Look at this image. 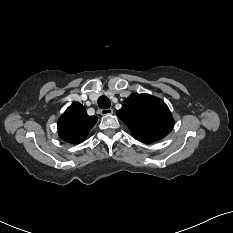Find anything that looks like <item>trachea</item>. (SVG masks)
I'll use <instances>...</instances> for the list:
<instances>
[{
    "mask_svg": "<svg viewBox=\"0 0 233 233\" xmlns=\"http://www.w3.org/2000/svg\"><path fill=\"white\" fill-rule=\"evenodd\" d=\"M110 105H111V102L106 96H101L98 99V106L101 109H108L110 107Z\"/></svg>",
    "mask_w": 233,
    "mask_h": 233,
    "instance_id": "obj_1",
    "label": "trachea"
}]
</instances>
